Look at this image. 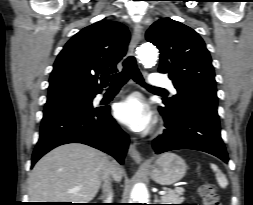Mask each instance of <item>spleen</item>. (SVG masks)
<instances>
[{
    "label": "spleen",
    "mask_w": 253,
    "mask_h": 205,
    "mask_svg": "<svg viewBox=\"0 0 253 205\" xmlns=\"http://www.w3.org/2000/svg\"><path fill=\"white\" fill-rule=\"evenodd\" d=\"M211 169L215 172V176L217 179V182L221 188H226L228 185V180L226 176L219 170L218 166L215 164H210Z\"/></svg>",
    "instance_id": "spleen-1"
}]
</instances>
